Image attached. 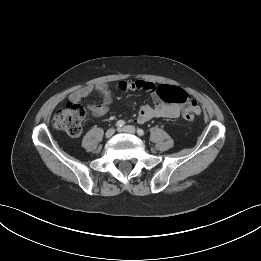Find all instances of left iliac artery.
Returning <instances> with one entry per match:
<instances>
[{
  "instance_id": "1",
  "label": "left iliac artery",
  "mask_w": 261,
  "mask_h": 261,
  "mask_svg": "<svg viewBox=\"0 0 261 261\" xmlns=\"http://www.w3.org/2000/svg\"><path fill=\"white\" fill-rule=\"evenodd\" d=\"M137 133H138L139 136H143L144 135V131L142 129H140V128L137 130Z\"/></svg>"
}]
</instances>
